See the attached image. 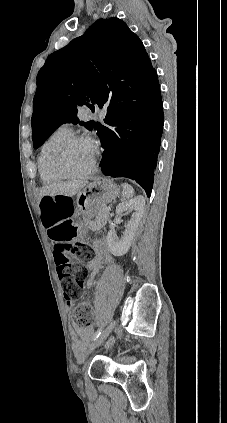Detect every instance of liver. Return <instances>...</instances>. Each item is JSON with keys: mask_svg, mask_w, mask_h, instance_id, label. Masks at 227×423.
<instances>
[{"mask_svg": "<svg viewBox=\"0 0 227 423\" xmlns=\"http://www.w3.org/2000/svg\"><path fill=\"white\" fill-rule=\"evenodd\" d=\"M86 184L87 182H57V184L56 182H52V184H45L42 190H40L38 204H40L43 196H51V198H55V196H69V198H73Z\"/></svg>", "mask_w": 227, "mask_h": 423, "instance_id": "obj_1", "label": "liver"}]
</instances>
